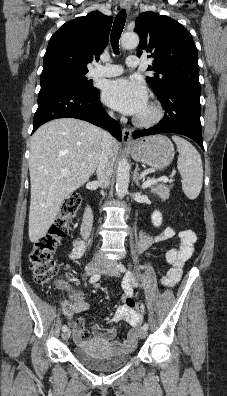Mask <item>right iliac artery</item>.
<instances>
[{
    "mask_svg": "<svg viewBox=\"0 0 227 396\" xmlns=\"http://www.w3.org/2000/svg\"><path fill=\"white\" fill-rule=\"evenodd\" d=\"M100 273H96V274H94L91 278H90V280H89V282L90 283H95V282H97L99 279H100ZM67 330V326L66 325H63V327H62V331H66Z\"/></svg>",
    "mask_w": 227,
    "mask_h": 396,
    "instance_id": "1",
    "label": "right iliac artery"
}]
</instances>
